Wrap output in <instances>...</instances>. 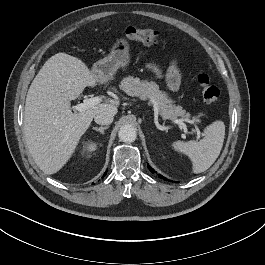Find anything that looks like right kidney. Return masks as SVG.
<instances>
[{"label": "right kidney", "instance_id": "1", "mask_svg": "<svg viewBox=\"0 0 265 265\" xmlns=\"http://www.w3.org/2000/svg\"><path fill=\"white\" fill-rule=\"evenodd\" d=\"M97 148V144L94 142L87 143L83 148V153H90L95 151Z\"/></svg>", "mask_w": 265, "mask_h": 265}]
</instances>
